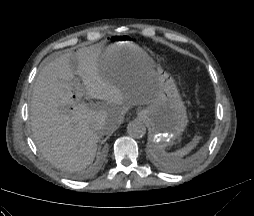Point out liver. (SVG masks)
Segmentation results:
<instances>
[{
  "instance_id": "liver-1",
  "label": "liver",
  "mask_w": 254,
  "mask_h": 216,
  "mask_svg": "<svg viewBox=\"0 0 254 216\" xmlns=\"http://www.w3.org/2000/svg\"><path fill=\"white\" fill-rule=\"evenodd\" d=\"M104 42L62 54L40 71L31 97L30 120L35 142L55 167L78 171L94 159L104 134L113 132L131 106L148 105L151 72L121 74L107 69ZM97 102L73 99L75 82ZM72 107V109H68Z\"/></svg>"
}]
</instances>
